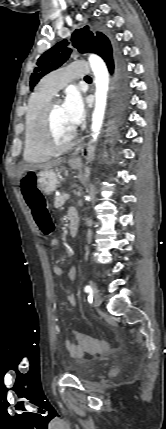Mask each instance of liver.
<instances>
[{
	"instance_id": "1",
	"label": "liver",
	"mask_w": 166,
	"mask_h": 429,
	"mask_svg": "<svg viewBox=\"0 0 166 429\" xmlns=\"http://www.w3.org/2000/svg\"><path fill=\"white\" fill-rule=\"evenodd\" d=\"M63 162L62 159H57V160H53L50 162H47L45 164H39V165H34V164H23L19 167L17 175L18 178L20 179L21 176L26 172V171H35V170H50L54 167L59 166L61 163Z\"/></svg>"
}]
</instances>
